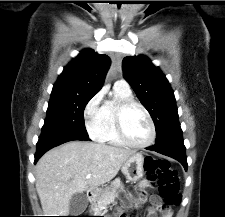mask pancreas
Segmentation results:
<instances>
[{
	"label": "pancreas",
	"mask_w": 225,
	"mask_h": 217,
	"mask_svg": "<svg viewBox=\"0 0 225 217\" xmlns=\"http://www.w3.org/2000/svg\"><path fill=\"white\" fill-rule=\"evenodd\" d=\"M123 189L122 183L119 178L115 179L112 183V188L104 191L101 197L97 200V203L92 205V210L94 213L99 214L109 205L110 203L114 202L117 196V189Z\"/></svg>",
	"instance_id": "pancreas-1"
}]
</instances>
